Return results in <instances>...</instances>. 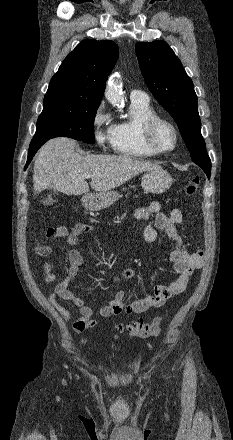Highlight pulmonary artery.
Listing matches in <instances>:
<instances>
[{
	"label": "pulmonary artery",
	"mask_w": 233,
	"mask_h": 440,
	"mask_svg": "<svg viewBox=\"0 0 233 440\" xmlns=\"http://www.w3.org/2000/svg\"><path fill=\"white\" fill-rule=\"evenodd\" d=\"M130 99L131 101H138V102H149L148 95L140 90H132L130 92Z\"/></svg>",
	"instance_id": "e3ab8cb5"
}]
</instances>
